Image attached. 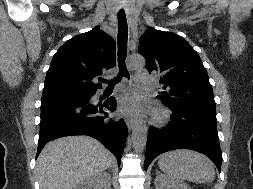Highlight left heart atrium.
<instances>
[{"instance_id":"left-heart-atrium-1","label":"left heart atrium","mask_w":253,"mask_h":189,"mask_svg":"<svg viewBox=\"0 0 253 189\" xmlns=\"http://www.w3.org/2000/svg\"><path fill=\"white\" fill-rule=\"evenodd\" d=\"M141 111V106L138 100L132 96H127L121 99L119 112L128 116H137Z\"/></svg>"}]
</instances>
